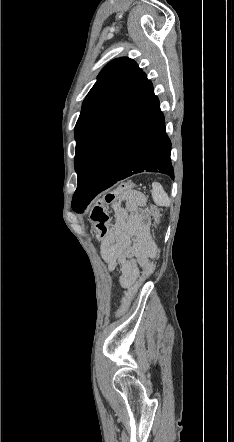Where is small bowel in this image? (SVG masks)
Segmentation results:
<instances>
[{
    "mask_svg": "<svg viewBox=\"0 0 234 442\" xmlns=\"http://www.w3.org/2000/svg\"><path fill=\"white\" fill-rule=\"evenodd\" d=\"M145 198L131 192L113 206V219L101 242L100 253L108 269L121 270L120 284L131 287L140 270L154 253L148 241V216L143 209Z\"/></svg>",
    "mask_w": 234,
    "mask_h": 442,
    "instance_id": "obj_1",
    "label": "small bowel"
}]
</instances>
